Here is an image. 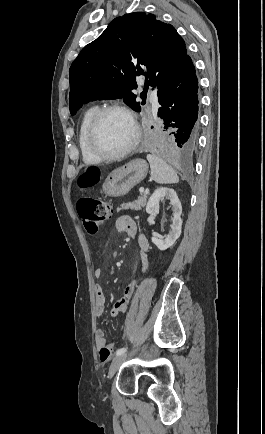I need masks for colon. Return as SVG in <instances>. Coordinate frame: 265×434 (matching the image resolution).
<instances>
[{
    "label": "colon",
    "mask_w": 265,
    "mask_h": 434,
    "mask_svg": "<svg viewBox=\"0 0 265 434\" xmlns=\"http://www.w3.org/2000/svg\"><path fill=\"white\" fill-rule=\"evenodd\" d=\"M80 187L91 189L93 178L99 177V168H80ZM75 209L87 234L95 237L99 234L104 224L111 218L110 203L103 198L86 197L75 202ZM102 364L109 362V356L115 355V350L111 349V344H102V348L96 352Z\"/></svg>",
    "instance_id": "colon-1"
}]
</instances>
